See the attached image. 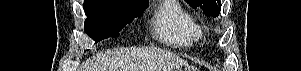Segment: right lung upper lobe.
<instances>
[{
  "label": "right lung upper lobe",
  "instance_id": "1",
  "mask_svg": "<svg viewBox=\"0 0 301 71\" xmlns=\"http://www.w3.org/2000/svg\"><path fill=\"white\" fill-rule=\"evenodd\" d=\"M136 1H148V0H136Z\"/></svg>",
  "mask_w": 301,
  "mask_h": 71
}]
</instances>
